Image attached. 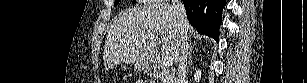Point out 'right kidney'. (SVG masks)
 Instances as JSON below:
<instances>
[{
    "instance_id": "ca27d5eb",
    "label": "right kidney",
    "mask_w": 307,
    "mask_h": 83,
    "mask_svg": "<svg viewBox=\"0 0 307 83\" xmlns=\"http://www.w3.org/2000/svg\"><path fill=\"white\" fill-rule=\"evenodd\" d=\"M201 70H196V72H195V74H194V80H195V82L196 83H198L199 81H200V79H201Z\"/></svg>"
}]
</instances>
